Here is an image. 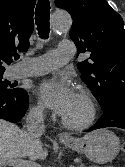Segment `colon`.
Here are the masks:
<instances>
[{"mask_svg": "<svg viewBox=\"0 0 125 167\" xmlns=\"http://www.w3.org/2000/svg\"><path fill=\"white\" fill-rule=\"evenodd\" d=\"M122 151H123V153L125 154V142L123 143Z\"/></svg>", "mask_w": 125, "mask_h": 167, "instance_id": "obj_1", "label": "colon"}]
</instances>
